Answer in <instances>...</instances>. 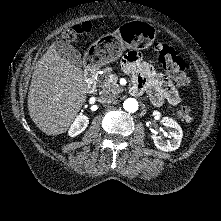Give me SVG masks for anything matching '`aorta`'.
Listing matches in <instances>:
<instances>
[{"mask_svg":"<svg viewBox=\"0 0 221 221\" xmlns=\"http://www.w3.org/2000/svg\"><path fill=\"white\" fill-rule=\"evenodd\" d=\"M138 102L134 98H128L123 103V108L130 113H134L138 110Z\"/></svg>","mask_w":221,"mask_h":221,"instance_id":"obj_1","label":"aorta"}]
</instances>
